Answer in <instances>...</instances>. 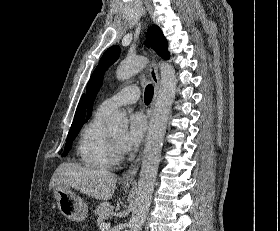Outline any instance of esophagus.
I'll return each mask as SVG.
<instances>
[{
	"mask_svg": "<svg viewBox=\"0 0 280 231\" xmlns=\"http://www.w3.org/2000/svg\"><path fill=\"white\" fill-rule=\"evenodd\" d=\"M149 75L154 84V96L151 103V109H152L156 101L157 93L160 86L159 69L155 60L149 67ZM148 116L150 118V114ZM141 159H142V149L139 151L135 160L131 163L129 168L123 174L122 181H133L135 179V176L137 175L140 168Z\"/></svg>",
	"mask_w": 280,
	"mask_h": 231,
	"instance_id": "34e87169",
	"label": "esophagus"
}]
</instances>
